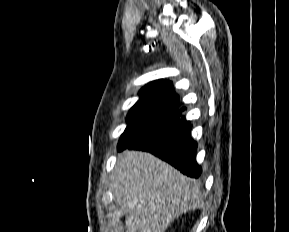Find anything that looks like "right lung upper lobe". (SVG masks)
I'll use <instances>...</instances> for the list:
<instances>
[{"label":"right lung upper lobe","instance_id":"1","mask_svg":"<svg viewBox=\"0 0 289 232\" xmlns=\"http://www.w3.org/2000/svg\"><path fill=\"white\" fill-rule=\"evenodd\" d=\"M139 95L140 100L137 103L178 111L179 97L168 80H157L147 84L140 90ZM183 110L185 108L180 111Z\"/></svg>","mask_w":289,"mask_h":232}]
</instances>
